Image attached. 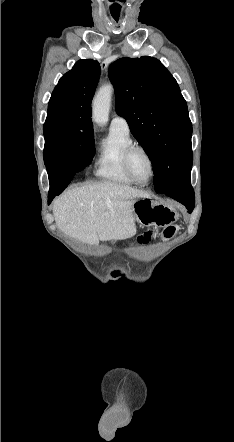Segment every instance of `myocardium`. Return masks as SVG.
<instances>
[{"label": "myocardium", "instance_id": "1", "mask_svg": "<svg viewBox=\"0 0 234 442\" xmlns=\"http://www.w3.org/2000/svg\"><path fill=\"white\" fill-rule=\"evenodd\" d=\"M136 150H141L148 158L149 162H150V166H151V175L149 177V179L146 182H142L140 180H138L136 178V176L134 175L132 169H131V165H130V158L131 155L134 151ZM123 165H124V169L127 173V175L137 184L139 185H147L155 176V171H156V167H155V162L153 159V156L151 155V153L149 152V150L144 147L143 145L140 144H132L129 147H127V149L124 152V156H123Z\"/></svg>", "mask_w": 234, "mask_h": 442}]
</instances>
